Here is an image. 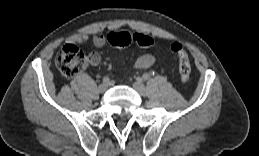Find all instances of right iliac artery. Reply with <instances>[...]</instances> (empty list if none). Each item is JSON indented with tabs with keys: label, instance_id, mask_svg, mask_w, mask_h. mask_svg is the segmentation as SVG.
I'll list each match as a JSON object with an SVG mask.
<instances>
[{
	"label": "right iliac artery",
	"instance_id": "right-iliac-artery-1",
	"mask_svg": "<svg viewBox=\"0 0 259 156\" xmlns=\"http://www.w3.org/2000/svg\"><path fill=\"white\" fill-rule=\"evenodd\" d=\"M103 82H104V83H108V82H109V77L105 76V77L103 78Z\"/></svg>",
	"mask_w": 259,
	"mask_h": 156
}]
</instances>
